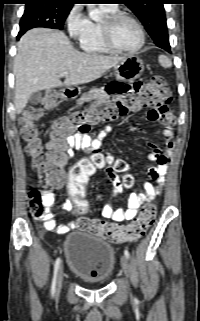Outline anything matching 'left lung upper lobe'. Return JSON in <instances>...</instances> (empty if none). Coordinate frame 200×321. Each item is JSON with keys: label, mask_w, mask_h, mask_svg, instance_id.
Here are the masks:
<instances>
[{"label": "left lung upper lobe", "mask_w": 200, "mask_h": 321, "mask_svg": "<svg viewBox=\"0 0 200 321\" xmlns=\"http://www.w3.org/2000/svg\"><path fill=\"white\" fill-rule=\"evenodd\" d=\"M139 18L155 44L165 49L170 47L165 9V0H122Z\"/></svg>", "instance_id": "1"}]
</instances>
